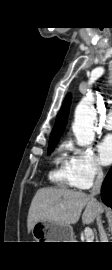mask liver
Segmentation results:
<instances>
[{
    "label": "liver",
    "mask_w": 112,
    "mask_h": 270,
    "mask_svg": "<svg viewBox=\"0 0 112 270\" xmlns=\"http://www.w3.org/2000/svg\"><path fill=\"white\" fill-rule=\"evenodd\" d=\"M82 214L84 224H91L102 213L101 204L91 195L65 188L39 189L32 199L28 217V232L37 222H54L60 225L75 224Z\"/></svg>",
    "instance_id": "1"
}]
</instances>
